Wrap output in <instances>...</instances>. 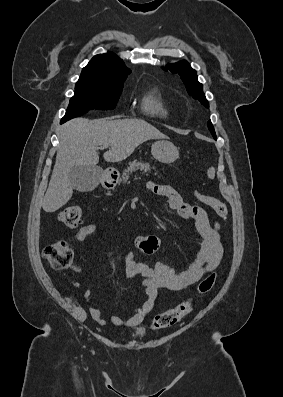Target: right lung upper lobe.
I'll list each match as a JSON object with an SVG mask.
<instances>
[{
    "mask_svg": "<svg viewBox=\"0 0 283 397\" xmlns=\"http://www.w3.org/2000/svg\"><path fill=\"white\" fill-rule=\"evenodd\" d=\"M131 71L124 62L114 53L94 56L81 72V78L100 81H122Z\"/></svg>",
    "mask_w": 283,
    "mask_h": 397,
    "instance_id": "1",
    "label": "right lung upper lobe"
}]
</instances>
